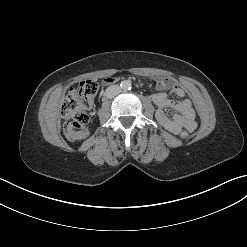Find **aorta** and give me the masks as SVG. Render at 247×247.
Segmentation results:
<instances>
[{"mask_svg": "<svg viewBox=\"0 0 247 247\" xmlns=\"http://www.w3.org/2000/svg\"><path fill=\"white\" fill-rule=\"evenodd\" d=\"M131 81L130 80H124L121 82V88L124 90V91H127V90H130L131 89Z\"/></svg>", "mask_w": 247, "mask_h": 247, "instance_id": "obj_1", "label": "aorta"}]
</instances>
